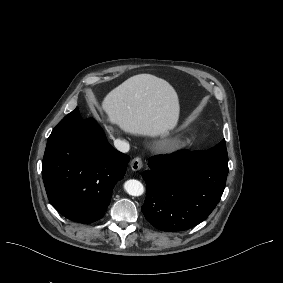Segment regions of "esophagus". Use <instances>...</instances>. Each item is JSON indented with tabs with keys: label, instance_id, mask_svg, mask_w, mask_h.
Segmentation results:
<instances>
[{
	"label": "esophagus",
	"instance_id": "obj_1",
	"mask_svg": "<svg viewBox=\"0 0 283 283\" xmlns=\"http://www.w3.org/2000/svg\"><path fill=\"white\" fill-rule=\"evenodd\" d=\"M131 169L134 171H138L139 169H141L143 167V162L142 159L139 157H135L132 159L131 163H130Z\"/></svg>",
	"mask_w": 283,
	"mask_h": 283
}]
</instances>
